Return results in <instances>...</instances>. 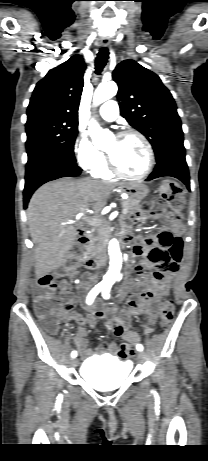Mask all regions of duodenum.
Wrapping results in <instances>:
<instances>
[{
  "label": "duodenum",
  "instance_id": "1",
  "mask_svg": "<svg viewBox=\"0 0 208 461\" xmlns=\"http://www.w3.org/2000/svg\"><path fill=\"white\" fill-rule=\"evenodd\" d=\"M120 239H121V242L122 243H128L131 239V234L129 233V231L125 228V231H123L121 233V236H120ZM77 241L79 243V245L81 246H85L89 243L90 241V237L89 235L82 229H79L78 230V237H77ZM100 261H101V257L99 255V253H94L85 263L86 265V268L88 270H94L98 267V265L100 264Z\"/></svg>",
  "mask_w": 208,
  "mask_h": 461
}]
</instances>
